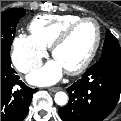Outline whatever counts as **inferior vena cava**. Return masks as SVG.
I'll return each mask as SVG.
<instances>
[{
    "mask_svg": "<svg viewBox=\"0 0 121 121\" xmlns=\"http://www.w3.org/2000/svg\"><path fill=\"white\" fill-rule=\"evenodd\" d=\"M29 69L27 67L24 68L23 72H27Z\"/></svg>",
    "mask_w": 121,
    "mask_h": 121,
    "instance_id": "1",
    "label": "inferior vena cava"
}]
</instances>
